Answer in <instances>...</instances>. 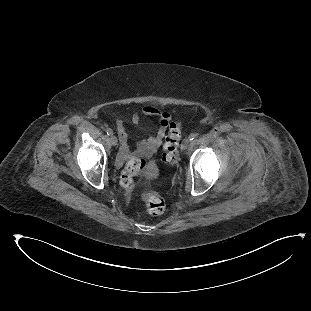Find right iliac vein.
Instances as JSON below:
<instances>
[{
  "mask_svg": "<svg viewBox=\"0 0 311 311\" xmlns=\"http://www.w3.org/2000/svg\"><path fill=\"white\" fill-rule=\"evenodd\" d=\"M110 142H111V144H112L113 146H116L117 143H118L117 137L111 135V136H110Z\"/></svg>",
  "mask_w": 311,
  "mask_h": 311,
  "instance_id": "right-iliac-vein-1",
  "label": "right iliac vein"
}]
</instances>
